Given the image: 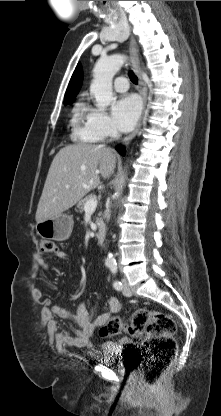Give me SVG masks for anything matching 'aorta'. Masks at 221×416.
<instances>
[{"label":"aorta","instance_id":"762f6f07","mask_svg":"<svg viewBox=\"0 0 221 416\" xmlns=\"http://www.w3.org/2000/svg\"><path fill=\"white\" fill-rule=\"evenodd\" d=\"M126 58L120 54H115L109 57L100 58L93 70V81L90 86V92L94 95L96 106L98 108H106L113 100L112 80L117 71L122 67ZM126 175H124L119 182V187L115 193L116 198H119L123 186L125 185ZM105 264L108 266L116 265V260L113 254L109 253L105 259Z\"/></svg>","mask_w":221,"mask_h":416}]
</instances>
